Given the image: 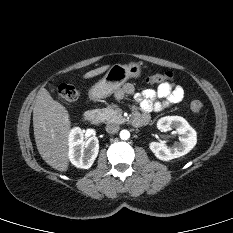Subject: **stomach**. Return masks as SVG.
Here are the masks:
<instances>
[{"instance_id": "obj_1", "label": "stomach", "mask_w": 233, "mask_h": 233, "mask_svg": "<svg viewBox=\"0 0 233 233\" xmlns=\"http://www.w3.org/2000/svg\"><path fill=\"white\" fill-rule=\"evenodd\" d=\"M140 74L141 67L136 62L127 65L114 64L105 76L91 88L89 95L92 99L106 98L119 89L128 79L139 77Z\"/></svg>"}]
</instances>
